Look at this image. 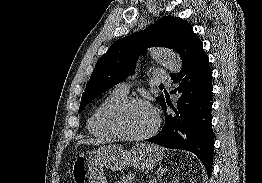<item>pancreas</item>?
Wrapping results in <instances>:
<instances>
[{
    "label": "pancreas",
    "instance_id": "cf45deb5",
    "mask_svg": "<svg viewBox=\"0 0 262 183\" xmlns=\"http://www.w3.org/2000/svg\"><path fill=\"white\" fill-rule=\"evenodd\" d=\"M133 176L130 175H125L122 178H120V180H118L117 183H134L132 182Z\"/></svg>",
    "mask_w": 262,
    "mask_h": 183
}]
</instances>
